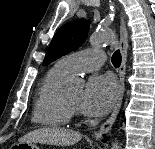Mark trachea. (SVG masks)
Instances as JSON below:
<instances>
[{
  "label": "trachea",
  "mask_w": 155,
  "mask_h": 149,
  "mask_svg": "<svg viewBox=\"0 0 155 149\" xmlns=\"http://www.w3.org/2000/svg\"><path fill=\"white\" fill-rule=\"evenodd\" d=\"M111 61L115 67H119L121 65V53L119 50L114 52Z\"/></svg>",
  "instance_id": "1"
}]
</instances>
